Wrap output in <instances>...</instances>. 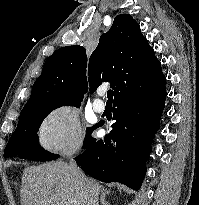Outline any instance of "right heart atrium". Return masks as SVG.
Returning <instances> with one entry per match:
<instances>
[{
	"label": "right heart atrium",
	"instance_id": "right-heart-atrium-1",
	"mask_svg": "<svg viewBox=\"0 0 199 205\" xmlns=\"http://www.w3.org/2000/svg\"><path fill=\"white\" fill-rule=\"evenodd\" d=\"M39 139L48 152H77L83 141V130L77 111L67 104L51 109L40 124Z\"/></svg>",
	"mask_w": 199,
	"mask_h": 205
}]
</instances>
